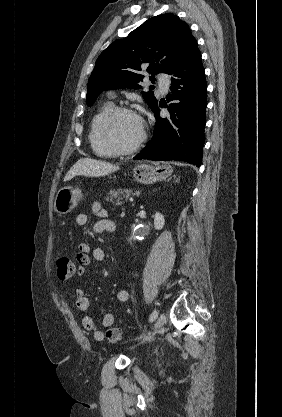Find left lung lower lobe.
Returning <instances> with one entry per match:
<instances>
[{
  "label": "left lung lower lobe",
  "instance_id": "obj_1",
  "mask_svg": "<svg viewBox=\"0 0 282 417\" xmlns=\"http://www.w3.org/2000/svg\"><path fill=\"white\" fill-rule=\"evenodd\" d=\"M171 75L167 101L172 126L160 117L158 104L152 108L156 118L154 136L133 159L179 160L200 166L205 141L207 82L197 41H191L167 72Z\"/></svg>",
  "mask_w": 282,
  "mask_h": 417
}]
</instances>
